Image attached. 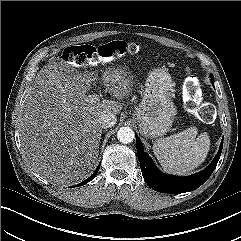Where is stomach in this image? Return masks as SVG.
Listing matches in <instances>:
<instances>
[{"mask_svg":"<svg viewBox=\"0 0 241 241\" xmlns=\"http://www.w3.org/2000/svg\"><path fill=\"white\" fill-rule=\"evenodd\" d=\"M174 83L164 69L149 73L142 100L134 111L140 133L148 138H157L167 133L177 114L173 102Z\"/></svg>","mask_w":241,"mask_h":241,"instance_id":"0dacf381","label":"stomach"}]
</instances>
